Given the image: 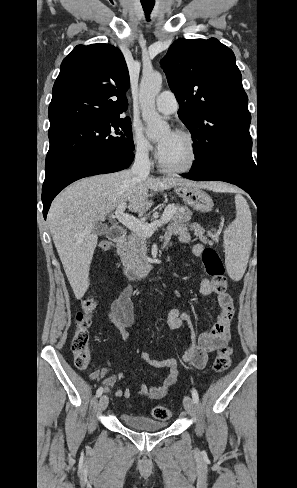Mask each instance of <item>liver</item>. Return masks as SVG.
<instances>
[{
  "label": "liver",
  "mask_w": 297,
  "mask_h": 488,
  "mask_svg": "<svg viewBox=\"0 0 297 488\" xmlns=\"http://www.w3.org/2000/svg\"><path fill=\"white\" fill-rule=\"evenodd\" d=\"M176 186L217 189L215 183L200 184L178 177H141L124 170L79 180L68 186L52 203L47 220L52 238L76 299L89 287V269L98 235L94 225L128 202V210L143 214L153 202L149 190Z\"/></svg>",
  "instance_id": "obj_1"
}]
</instances>
